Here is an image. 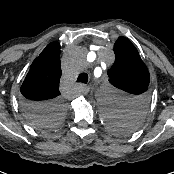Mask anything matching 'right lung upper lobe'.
I'll use <instances>...</instances> for the list:
<instances>
[{"mask_svg":"<svg viewBox=\"0 0 174 174\" xmlns=\"http://www.w3.org/2000/svg\"><path fill=\"white\" fill-rule=\"evenodd\" d=\"M60 49L58 42H51L33 61L20 88L25 102L53 104L60 101Z\"/></svg>","mask_w":174,"mask_h":174,"instance_id":"1","label":"right lung upper lobe"}]
</instances>
